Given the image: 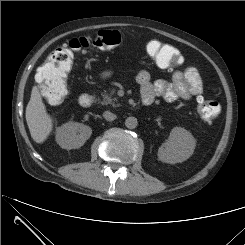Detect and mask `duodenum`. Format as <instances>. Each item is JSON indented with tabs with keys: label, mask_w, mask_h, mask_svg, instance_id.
<instances>
[{
	"label": "duodenum",
	"mask_w": 245,
	"mask_h": 245,
	"mask_svg": "<svg viewBox=\"0 0 245 245\" xmlns=\"http://www.w3.org/2000/svg\"><path fill=\"white\" fill-rule=\"evenodd\" d=\"M92 103H93V96L91 94L85 93L79 97V104L81 107L84 108L90 107ZM142 103L145 106L150 104L148 101L145 100Z\"/></svg>",
	"instance_id": "1"
}]
</instances>
